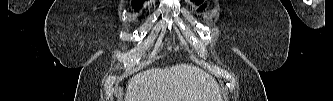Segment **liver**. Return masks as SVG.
<instances>
[{"instance_id": "6515ba94", "label": "liver", "mask_w": 333, "mask_h": 101, "mask_svg": "<svg viewBox=\"0 0 333 101\" xmlns=\"http://www.w3.org/2000/svg\"><path fill=\"white\" fill-rule=\"evenodd\" d=\"M125 101H220L212 77L190 64L152 68L133 76Z\"/></svg>"}]
</instances>
